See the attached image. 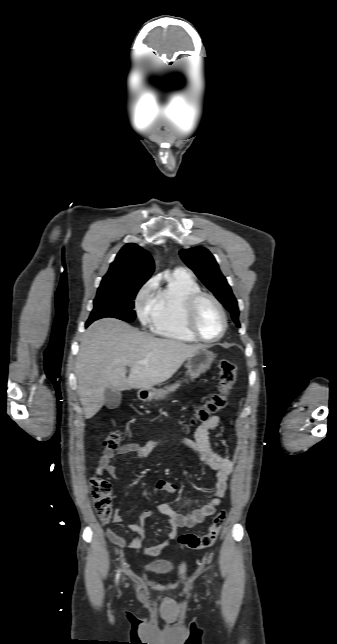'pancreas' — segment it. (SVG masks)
<instances>
[{"instance_id":"cf45deb5","label":"pancreas","mask_w":337,"mask_h":644,"mask_svg":"<svg viewBox=\"0 0 337 644\" xmlns=\"http://www.w3.org/2000/svg\"><path fill=\"white\" fill-rule=\"evenodd\" d=\"M178 386H179V385H178V384H176V385H173V386L168 387L166 391H163V397H164L166 394H168L169 392L175 391V390L178 388Z\"/></svg>"}]
</instances>
